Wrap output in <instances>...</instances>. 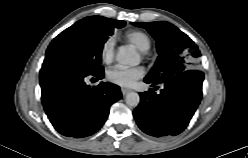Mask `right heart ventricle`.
<instances>
[{"label":"right heart ventricle","mask_w":248,"mask_h":158,"mask_svg":"<svg viewBox=\"0 0 248 158\" xmlns=\"http://www.w3.org/2000/svg\"><path fill=\"white\" fill-rule=\"evenodd\" d=\"M126 38L140 51H146L150 47L149 37L141 31H130Z\"/></svg>","instance_id":"e07e8e85"}]
</instances>
